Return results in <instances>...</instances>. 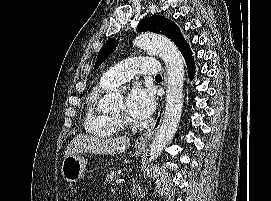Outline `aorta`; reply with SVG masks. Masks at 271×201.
Masks as SVG:
<instances>
[{
	"label": "aorta",
	"instance_id": "obj_1",
	"mask_svg": "<svg viewBox=\"0 0 271 201\" xmlns=\"http://www.w3.org/2000/svg\"><path fill=\"white\" fill-rule=\"evenodd\" d=\"M134 46L158 54L166 65L167 94L165 114L149 153V162L154 161L173 138L180 123L183 107L184 65L182 56L176 45L168 38L154 34L143 33L134 40ZM122 100L119 92L105 95L100 100L102 108H111Z\"/></svg>",
	"mask_w": 271,
	"mask_h": 201
}]
</instances>
